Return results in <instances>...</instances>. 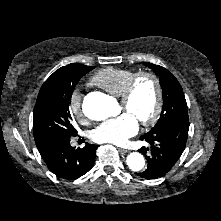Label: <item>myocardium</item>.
Instances as JSON below:
<instances>
[{
	"mask_svg": "<svg viewBox=\"0 0 221 221\" xmlns=\"http://www.w3.org/2000/svg\"><path fill=\"white\" fill-rule=\"evenodd\" d=\"M141 78H149L150 80H152L154 87H155V92H156L155 105H154L152 114L146 119L139 120L143 126H150L157 122V120L159 119L161 115L162 108H163L162 84H161L159 77L155 73L150 72V71H141V72L135 73L127 81L123 89V92L119 96V99L122 104L128 103L131 100L134 87L137 81Z\"/></svg>",
	"mask_w": 221,
	"mask_h": 221,
	"instance_id": "1",
	"label": "myocardium"
}]
</instances>
